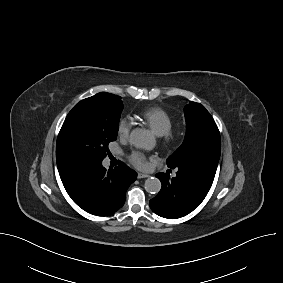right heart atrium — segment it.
<instances>
[{
    "mask_svg": "<svg viewBox=\"0 0 283 283\" xmlns=\"http://www.w3.org/2000/svg\"><path fill=\"white\" fill-rule=\"evenodd\" d=\"M132 122L128 117H122L117 126V132L120 138L125 139L129 136Z\"/></svg>",
    "mask_w": 283,
    "mask_h": 283,
    "instance_id": "right-heart-atrium-1",
    "label": "right heart atrium"
}]
</instances>
